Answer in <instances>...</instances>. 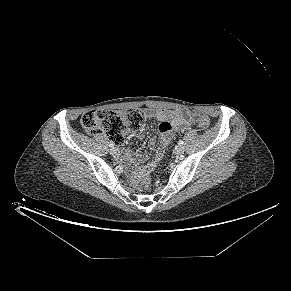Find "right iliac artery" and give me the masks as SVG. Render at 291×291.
<instances>
[{
	"label": "right iliac artery",
	"instance_id": "obj_1",
	"mask_svg": "<svg viewBox=\"0 0 291 291\" xmlns=\"http://www.w3.org/2000/svg\"><path fill=\"white\" fill-rule=\"evenodd\" d=\"M109 147L113 148L114 147V143L113 142H110L109 143Z\"/></svg>",
	"mask_w": 291,
	"mask_h": 291
}]
</instances>
